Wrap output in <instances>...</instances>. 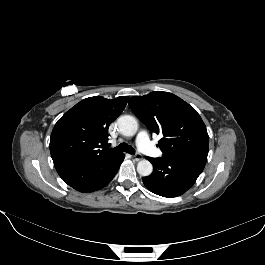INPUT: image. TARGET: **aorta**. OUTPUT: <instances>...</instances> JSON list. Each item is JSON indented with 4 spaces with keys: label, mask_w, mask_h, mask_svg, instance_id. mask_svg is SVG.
Listing matches in <instances>:
<instances>
[{
    "label": "aorta",
    "mask_w": 265,
    "mask_h": 265,
    "mask_svg": "<svg viewBox=\"0 0 265 265\" xmlns=\"http://www.w3.org/2000/svg\"><path fill=\"white\" fill-rule=\"evenodd\" d=\"M119 131L124 136H134L138 130V123L133 116L123 115L117 120ZM153 166L148 160H141L137 164V172L141 176H149Z\"/></svg>",
    "instance_id": "aorta-1"
}]
</instances>
